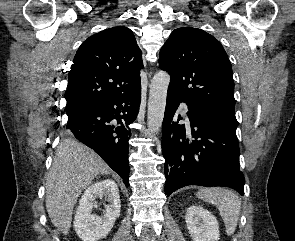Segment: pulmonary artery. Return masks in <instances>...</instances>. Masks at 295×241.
<instances>
[{"mask_svg":"<svg viewBox=\"0 0 295 241\" xmlns=\"http://www.w3.org/2000/svg\"><path fill=\"white\" fill-rule=\"evenodd\" d=\"M180 108H181L182 113L184 115H186L187 114V106L185 104H181V107Z\"/></svg>","mask_w":295,"mask_h":241,"instance_id":"obj_1","label":"pulmonary artery"}]
</instances>
